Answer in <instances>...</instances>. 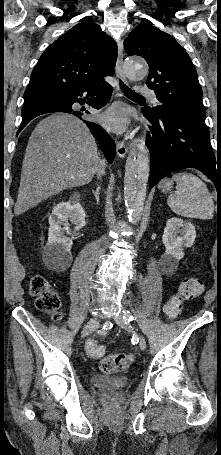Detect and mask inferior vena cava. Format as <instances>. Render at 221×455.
I'll use <instances>...</instances> for the list:
<instances>
[{
	"mask_svg": "<svg viewBox=\"0 0 221 455\" xmlns=\"http://www.w3.org/2000/svg\"><path fill=\"white\" fill-rule=\"evenodd\" d=\"M104 173V169L101 170L100 174H103Z\"/></svg>",
	"mask_w": 221,
	"mask_h": 455,
	"instance_id": "obj_1",
	"label": "inferior vena cava"
}]
</instances>
